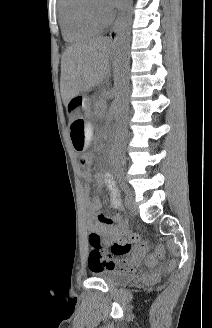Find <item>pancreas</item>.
<instances>
[{
  "label": "pancreas",
  "instance_id": "cf45deb5",
  "mask_svg": "<svg viewBox=\"0 0 212 328\" xmlns=\"http://www.w3.org/2000/svg\"><path fill=\"white\" fill-rule=\"evenodd\" d=\"M105 107H106V103H105L104 99H100L97 102V108L100 109L103 112Z\"/></svg>",
  "mask_w": 212,
  "mask_h": 328
}]
</instances>
